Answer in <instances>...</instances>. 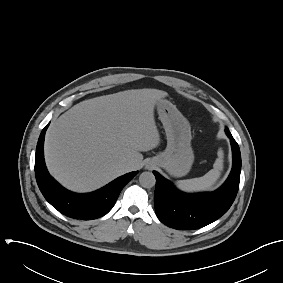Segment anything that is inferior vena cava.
Returning <instances> with one entry per match:
<instances>
[{
  "label": "inferior vena cava",
  "instance_id": "1",
  "mask_svg": "<svg viewBox=\"0 0 283 283\" xmlns=\"http://www.w3.org/2000/svg\"><path fill=\"white\" fill-rule=\"evenodd\" d=\"M121 168L125 172H129L131 170V163L130 162H124V163L121 164Z\"/></svg>",
  "mask_w": 283,
  "mask_h": 283
}]
</instances>
